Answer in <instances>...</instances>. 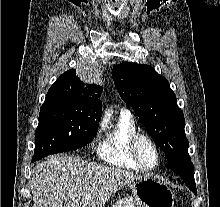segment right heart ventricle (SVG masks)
<instances>
[{"instance_id": "obj_1", "label": "right heart ventricle", "mask_w": 220, "mask_h": 207, "mask_svg": "<svg viewBox=\"0 0 220 207\" xmlns=\"http://www.w3.org/2000/svg\"><path fill=\"white\" fill-rule=\"evenodd\" d=\"M138 131L136 123L129 112L122 111L116 123L105 131L97 154L105 163L115 167L141 171L144 170L131 156L129 141Z\"/></svg>"}]
</instances>
